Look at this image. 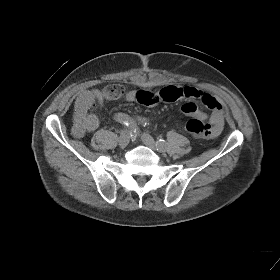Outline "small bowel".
<instances>
[{"instance_id":"obj_1","label":"small bowel","mask_w":280,"mask_h":280,"mask_svg":"<svg viewBox=\"0 0 280 280\" xmlns=\"http://www.w3.org/2000/svg\"><path fill=\"white\" fill-rule=\"evenodd\" d=\"M104 95L98 90L82 91L75 102V113L72 133L75 137L81 138L86 133L97 129L99 125L95 114L89 112L95 100L102 102ZM129 102H138L146 106H154L161 102H173L184 100L181 107L182 112L192 118L199 120L209 119L210 124L215 128L217 135L225 120L222 103L214 96L193 87L166 86L158 92L147 90H133L126 95ZM199 104L211 110L210 116L204 112Z\"/></svg>"}]
</instances>
